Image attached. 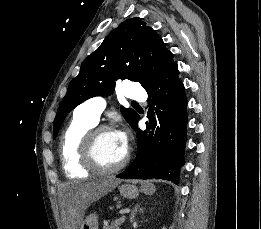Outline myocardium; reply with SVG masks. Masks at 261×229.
<instances>
[{
  "label": "myocardium",
  "mask_w": 261,
  "mask_h": 229,
  "mask_svg": "<svg viewBox=\"0 0 261 229\" xmlns=\"http://www.w3.org/2000/svg\"><path fill=\"white\" fill-rule=\"evenodd\" d=\"M115 131L112 127L101 125L91 129L85 136L82 145V158L85 165L92 171L100 174H110L121 170L128 163L129 153L126 151L124 158L114 166L102 164L97 156V144L102 134Z\"/></svg>",
  "instance_id": "myocardium-1"
}]
</instances>
